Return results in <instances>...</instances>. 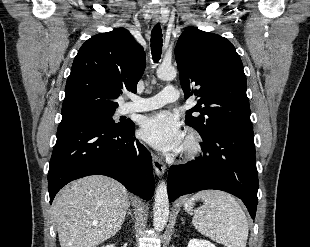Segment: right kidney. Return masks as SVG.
I'll return each instance as SVG.
<instances>
[{
  "mask_svg": "<svg viewBox=\"0 0 310 247\" xmlns=\"http://www.w3.org/2000/svg\"><path fill=\"white\" fill-rule=\"evenodd\" d=\"M104 247V246H103ZM105 247H114V245H107V246H105Z\"/></svg>",
  "mask_w": 310,
  "mask_h": 247,
  "instance_id": "ca27d5eb",
  "label": "right kidney"
}]
</instances>
